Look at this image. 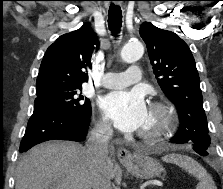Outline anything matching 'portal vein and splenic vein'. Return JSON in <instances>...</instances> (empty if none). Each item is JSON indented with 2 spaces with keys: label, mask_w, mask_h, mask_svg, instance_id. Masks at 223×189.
Listing matches in <instances>:
<instances>
[{
  "label": "portal vein and splenic vein",
  "mask_w": 223,
  "mask_h": 189,
  "mask_svg": "<svg viewBox=\"0 0 223 189\" xmlns=\"http://www.w3.org/2000/svg\"><path fill=\"white\" fill-rule=\"evenodd\" d=\"M157 185H159V186H162L161 184H159V182L158 183H156Z\"/></svg>",
  "instance_id": "portal-vein-and-splenic-vein-1"
}]
</instances>
